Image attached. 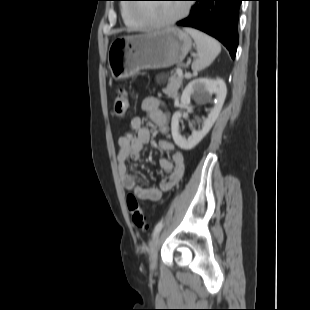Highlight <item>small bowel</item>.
I'll return each mask as SVG.
<instances>
[{"label": "small bowel", "mask_w": 310, "mask_h": 310, "mask_svg": "<svg viewBox=\"0 0 310 310\" xmlns=\"http://www.w3.org/2000/svg\"><path fill=\"white\" fill-rule=\"evenodd\" d=\"M142 109L162 134L168 131V114L161 107V101L154 96L146 97ZM130 130L119 138L117 151V170L124 189L131 191L140 200L158 201L162 195L170 191L182 179L185 172V160L181 152L168 140L159 141V148L170 152L171 158L162 157L160 167L167 174L158 187H144L138 183V177L128 172V160L139 161L143 146L150 141V128L143 124L141 116L130 119Z\"/></svg>", "instance_id": "obj_1"}]
</instances>
